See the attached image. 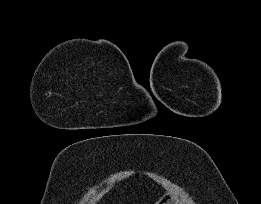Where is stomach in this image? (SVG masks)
I'll return each instance as SVG.
<instances>
[{
    "instance_id": "1",
    "label": "stomach",
    "mask_w": 261,
    "mask_h": 204,
    "mask_svg": "<svg viewBox=\"0 0 261 204\" xmlns=\"http://www.w3.org/2000/svg\"><path fill=\"white\" fill-rule=\"evenodd\" d=\"M157 204H175L170 194L164 195Z\"/></svg>"
}]
</instances>
